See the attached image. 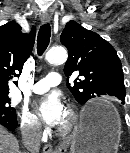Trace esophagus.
<instances>
[{
	"instance_id": "1",
	"label": "esophagus",
	"mask_w": 130,
	"mask_h": 153,
	"mask_svg": "<svg viewBox=\"0 0 130 153\" xmlns=\"http://www.w3.org/2000/svg\"><path fill=\"white\" fill-rule=\"evenodd\" d=\"M51 17L48 14H43L41 15V21L42 23H48L50 21ZM43 152L44 153H53V146L50 143H47L43 147Z\"/></svg>"
}]
</instances>
